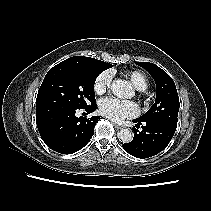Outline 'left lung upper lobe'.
Listing matches in <instances>:
<instances>
[{
  "mask_svg": "<svg viewBox=\"0 0 211 211\" xmlns=\"http://www.w3.org/2000/svg\"><path fill=\"white\" fill-rule=\"evenodd\" d=\"M136 64L150 73L157 88L155 103L137 120L156 121L176 129L180 103L173 79L153 63L137 62Z\"/></svg>",
  "mask_w": 211,
  "mask_h": 211,
  "instance_id": "1",
  "label": "left lung upper lobe"
}]
</instances>
